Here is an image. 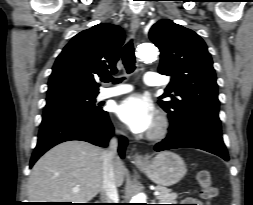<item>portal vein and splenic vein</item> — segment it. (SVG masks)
<instances>
[{
  "mask_svg": "<svg viewBox=\"0 0 253 205\" xmlns=\"http://www.w3.org/2000/svg\"><path fill=\"white\" fill-rule=\"evenodd\" d=\"M78 190H79V186H75V187L73 188V191H75V192L78 191ZM154 195H155V196H158V195H160V192L156 190V191L154 192Z\"/></svg>",
  "mask_w": 253,
  "mask_h": 205,
  "instance_id": "portal-vein-and-splenic-vein-1",
  "label": "portal vein and splenic vein"
}]
</instances>
